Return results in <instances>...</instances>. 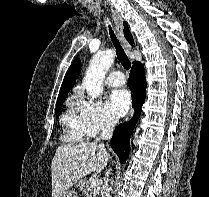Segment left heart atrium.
I'll use <instances>...</instances> for the list:
<instances>
[{
    "instance_id": "39dd6f15",
    "label": "left heart atrium",
    "mask_w": 209,
    "mask_h": 197,
    "mask_svg": "<svg viewBox=\"0 0 209 197\" xmlns=\"http://www.w3.org/2000/svg\"><path fill=\"white\" fill-rule=\"evenodd\" d=\"M108 107L116 116H123L127 113L131 104V96L127 90H113L108 99Z\"/></svg>"
}]
</instances>
